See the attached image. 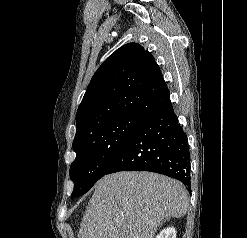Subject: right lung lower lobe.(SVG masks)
<instances>
[{"label": "right lung lower lobe", "mask_w": 247, "mask_h": 238, "mask_svg": "<svg viewBox=\"0 0 247 238\" xmlns=\"http://www.w3.org/2000/svg\"><path fill=\"white\" fill-rule=\"evenodd\" d=\"M131 170L167 175L190 190L188 142L171 102L144 118L106 174Z\"/></svg>", "instance_id": "obj_1"}]
</instances>
